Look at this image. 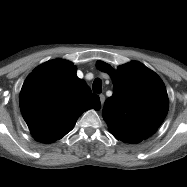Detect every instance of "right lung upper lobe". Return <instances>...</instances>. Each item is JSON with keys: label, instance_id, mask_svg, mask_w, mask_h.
I'll return each mask as SVG.
<instances>
[{"label": "right lung upper lobe", "instance_id": "cb5924a9", "mask_svg": "<svg viewBox=\"0 0 187 187\" xmlns=\"http://www.w3.org/2000/svg\"><path fill=\"white\" fill-rule=\"evenodd\" d=\"M19 103L33 137L43 143L62 138L83 112L101 106L98 95L77 77L75 66L62 59L32 71L22 86Z\"/></svg>", "mask_w": 187, "mask_h": 187}]
</instances>
